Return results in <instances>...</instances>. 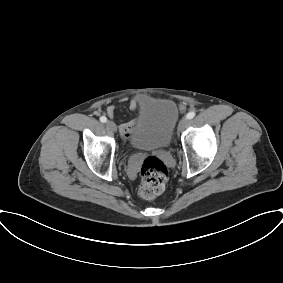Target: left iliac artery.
I'll return each mask as SVG.
<instances>
[{
	"label": "left iliac artery",
	"instance_id": "left-iliac-artery-1",
	"mask_svg": "<svg viewBox=\"0 0 283 283\" xmlns=\"http://www.w3.org/2000/svg\"><path fill=\"white\" fill-rule=\"evenodd\" d=\"M195 117V112L194 111H191V112H189L187 115H186V118L187 119H192V118H194Z\"/></svg>",
	"mask_w": 283,
	"mask_h": 283
}]
</instances>
